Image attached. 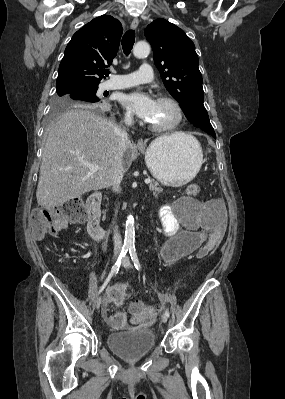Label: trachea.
Listing matches in <instances>:
<instances>
[{"label": "trachea", "instance_id": "obj_1", "mask_svg": "<svg viewBox=\"0 0 285 399\" xmlns=\"http://www.w3.org/2000/svg\"><path fill=\"white\" fill-rule=\"evenodd\" d=\"M134 42H135V31L128 30L122 38V48L126 55L130 54V51L133 48ZM109 73H110L109 70L104 71V74L106 76H108Z\"/></svg>", "mask_w": 285, "mask_h": 399}]
</instances>
